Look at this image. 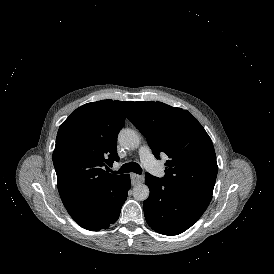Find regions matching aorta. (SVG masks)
Listing matches in <instances>:
<instances>
[{
	"mask_svg": "<svg viewBox=\"0 0 274 274\" xmlns=\"http://www.w3.org/2000/svg\"><path fill=\"white\" fill-rule=\"evenodd\" d=\"M119 143L125 148H137L140 145V136L133 129H122L118 135ZM150 190L146 184H137L133 188V197L138 201H144L149 197Z\"/></svg>",
	"mask_w": 274,
	"mask_h": 274,
	"instance_id": "1",
	"label": "aorta"
}]
</instances>
